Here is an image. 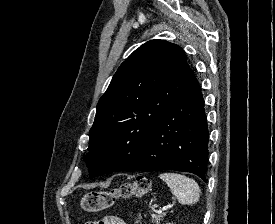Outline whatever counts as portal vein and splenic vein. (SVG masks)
<instances>
[{"label": "portal vein and splenic vein", "mask_w": 275, "mask_h": 224, "mask_svg": "<svg viewBox=\"0 0 275 224\" xmlns=\"http://www.w3.org/2000/svg\"><path fill=\"white\" fill-rule=\"evenodd\" d=\"M169 209V206H164V207H162L161 209H159L158 211H157V213H162L163 211H166V210H168Z\"/></svg>", "instance_id": "obj_1"}]
</instances>
